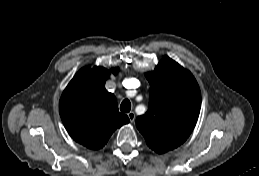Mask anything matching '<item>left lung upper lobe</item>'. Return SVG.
<instances>
[{
  "label": "left lung upper lobe",
  "instance_id": "5c2ea615",
  "mask_svg": "<svg viewBox=\"0 0 259 176\" xmlns=\"http://www.w3.org/2000/svg\"><path fill=\"white\" fill-rule=\"evenodd\" d=\"M145 75L150 84L149 109L137 117L136 126L147 145L161 154L180 146L191 134L200 112V89L189 71L166 56Z\"/></svg>",
  "mask_w": 259,
  "mask_h": 176
}]
</instances>
